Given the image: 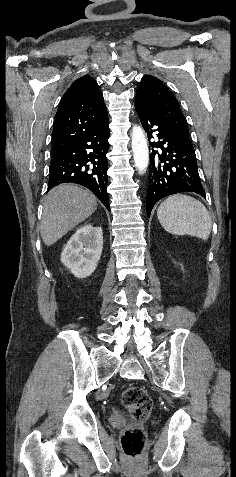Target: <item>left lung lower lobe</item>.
<instances>
[{
  "instance_id": "left-lung-lower-lobe-1",
  "label": "left lung lower lobe",
  "mask_w": 236,
  "mask_h": 477,
  "mask_svg": "<svg viewBox=\"0 0 236 477\" xmlns=\"http://www.w3.org/2000/svg\"><path fill=\"white\" fill-rule=\"evenodd\" d=\"M135 108L152 148L150 175L147 189V215L160 199L182 192H194L205 197L200 181L196 155L192 145L177 137L164 123L158 120L144 105L135 103ZM155 136L159 141L150 142Z\"/></svg>"
}]
</instances>
